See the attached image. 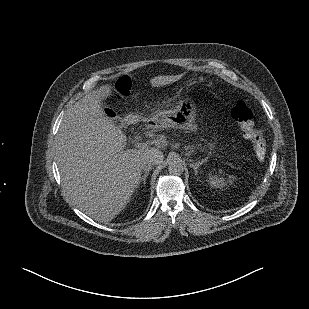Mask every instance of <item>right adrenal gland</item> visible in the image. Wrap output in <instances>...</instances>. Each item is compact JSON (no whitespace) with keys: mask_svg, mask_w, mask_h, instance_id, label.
Returning <instances> with one entry per match:
<instances>
[{"mask_svg":"<svg viewBox=\"0 0 309 309\" xmlns=\"http://www.w3.org/2000/svg\"><path fill=\"white\" fill-rule=\"evenodd\" d=\"M149 175V172H145V174L141 177L140 182H143L146 186V178Z\"/></svg>","mask_w":309,"mask_h":309,"instance_id":"1","label":"right adrenal gland"}]
</instances>
